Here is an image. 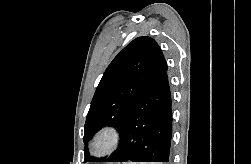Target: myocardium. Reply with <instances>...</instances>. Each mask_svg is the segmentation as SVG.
<instances>
[{
    "instance_id": "1",
    "label": "myocardium",
    "mask_w": 251,
    "mask_h": 164,
    "mask_svg": "<svg viewBox=\"0 0 251 164\" xmlns=\"http://www.w3.org/2000/svg\"><path fill=\"white\" fill-rule=\"evenodd\" d=\"M123 134L114 125H104L98 129L91 141L90 150L96 157H105L116 151L121 145Z\"/></svg>"
}]
</instances>
